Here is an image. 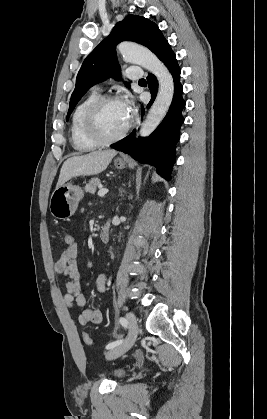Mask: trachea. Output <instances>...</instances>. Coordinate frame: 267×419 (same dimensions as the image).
<instances>
[{"label": "trachea", "mask_w": 267, "mask_h": 419, "mask_svg": "<svg viewBox=\"0 0 267 419\" xmlns=\"http://www.w3.org/2000/svg\"><path fill=\"white\" fill-rule=\"evenodd\" d=\"M144 81H146V80H145V79H140V80H139V82H144Z\"/></svg>", "instance_id": "obj_1"}]
</instances>
